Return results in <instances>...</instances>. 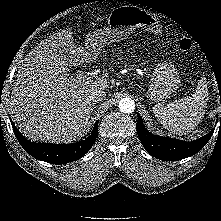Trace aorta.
Here are the masks:
<instances>
[{
	"mask_svg": "<svg viewBox=\"0 0 221 221\" xmlns=\"http://www.w3.org/2000/svg\"><path fill=\"white\" fill-rule=\"evenodd\" d=\"M119 110L122 113H132L135 109V103L131 98H123L119 102Z\"/></svg>",
	"mask_w": 221,
	"mask_h": 221,
	"instance_id": "aorta-1",
	"label": "aorta"
}]
</instances>
